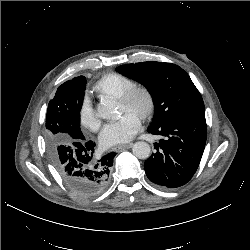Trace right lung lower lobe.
I'll return each instance as SVG.
<instances>
[{
	"label": "right lung lower lobe",
	"instance_id": "obj_1",
	"mask_svg": "<svg viewBox=\"0 0 250 250\" xmlns=\"http://www.w3.org/2000/svg\"><path fill=\"white\" fill-rule=\"evenodd\" d=\"M95 143L83 137L71 144H60L51 160L63 181L83 198L101 193L109 183L113 159L111 152L95 157Z\"/></svg>",
	"mask_w": 250,
	"mask_h": 250
}]
</instances>
